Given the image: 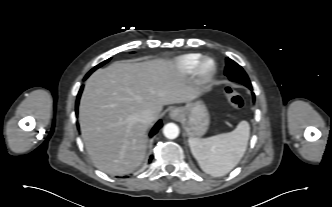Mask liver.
<instances>
[{"label":"liver","instance_id":"liver-1","mask_svg":"<svg viewBox=\"0 0 332 207\" xmlns=\"http://www.w3.org/2000/svg\"><path fill=\"white\" fill-rule=\"evenodd\" d=\"M197 96L172 61H117L94 72L85 83L79 122L94 165L112 175L134 171L146 154L145 110L159 117L164 105L187 103Z\"/></svg>","mask_w":332,"mask_h":207}]
</instances>
